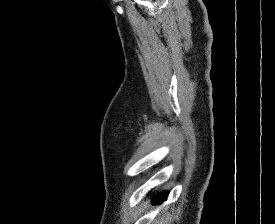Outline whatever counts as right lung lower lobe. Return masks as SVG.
Segmentation results:
<instances>
[{
	"label": "right lung lower lobe",
	"instance_id": "right-lung-lower-lobe-1",
	"mask_svg": "<svg viewBox=\"0 0 275 224\" xmlns=\"http://www.w3.org/2000/svg\"><path fill=\"white\" fill-rule=\"evenodd\" d=\"M167 195H168L167 193L157 195L154 202H159V201L166 200Z\"/></svg>",
	"mask_w": 275,
	"mask_h": 224
}]
</instances>
